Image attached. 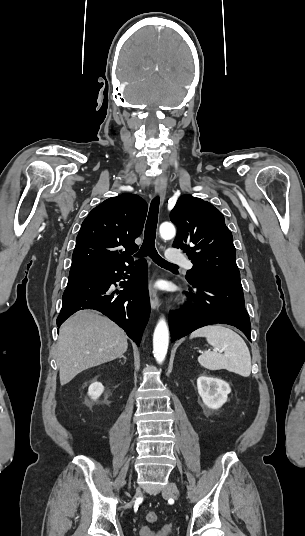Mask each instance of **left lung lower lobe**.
<instances>
[{"label": "left lung lower lobe", "instance_id": "1", "mask_svg": "<svg viewBox=\"0 0 305 536\" xmlns=\"http://www.w3.org/2000/svg\"><path fill=\"white\" fill-rule=\"evenodd\" d=\"M190 284L197 291L187 293L189 306L169 314L172 342L200 327L217 323L236 326L251 341L250 319L241 283L194 281Z\"/></svg>", "mask_w": 305, "mask_h": 536}]
</instances>
